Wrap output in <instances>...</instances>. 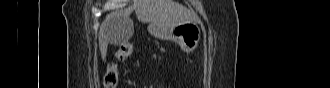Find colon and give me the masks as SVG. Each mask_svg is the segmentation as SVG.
Listing matches in <instances>:
<instances>
[{"label":"colon","instance_id":"obj_1","mask_svg":"<svg viewBox=\"0 0 330 88\" xmlns=\"http://www.w3.org/2000/svg\"><path fill=\"white\" fill-rule=\"evenodd\" d=\"M125 45L129 49V51H132V45L130 43H126ZM116 59H117V61H123L126 59V56L120 55L117 51ZM118 77H119L118 64L116 62L111 63L107 69V72H106L104 80H103L104 87H106V88L116 87V84L118 82Z\"/></svg>","mask_w":330,"mask_h":88}]
</instances>
